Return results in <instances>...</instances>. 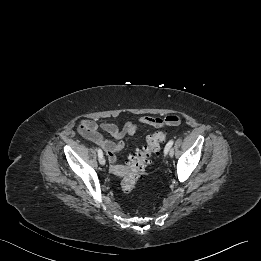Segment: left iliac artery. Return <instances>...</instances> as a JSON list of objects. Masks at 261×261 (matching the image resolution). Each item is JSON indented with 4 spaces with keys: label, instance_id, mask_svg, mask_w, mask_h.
<instances>
[{
    "label": "left iliac artery",
    "instance_id": "left-iliac-artery-1",
    "mask_svg": "<svg viewBox=\"0 0 261 261\" xmlns=\"http://www.w3.org/2000/svg\"><path fill=\"white\" fill-rule=\"evenodd\" d=\"M173 143H174V141H173V140H170V141L166 144L165 149H164V154H167V153H168V151H169L170 148L172 147Z\"/></svg>",
    "mask_w": 261,
    "mask_h": 261
}]
</instances>
